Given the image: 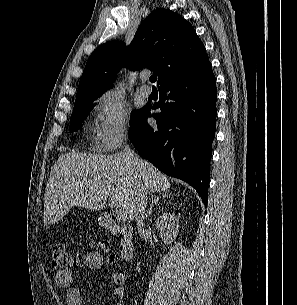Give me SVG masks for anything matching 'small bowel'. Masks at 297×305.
Here are the masks:
<instances>
[{
    "label": "small bowel",
    "mask_w": 297,
    "mask_h": 305,
    "mask_svg": "<svg viewBox=\"0 0 297 305\" xmlns=\"http://www.w3.org/2000/svg\"><path fill=\"white\" fill-rule=\"evenodd\" d=\"M84 266L89 270H98L103 265V258L98 252H89L84 256ZM55 283L58 287L66 288V302L68 305H83V296L79 289L73 287V276L70 271H57L54 275ZM112 280L115 287L112 290L115 305H123L125 298V276L122 272H114Z\"/></svg>",
    "instance_id": "small-bowel-1"
}]
</instances>
